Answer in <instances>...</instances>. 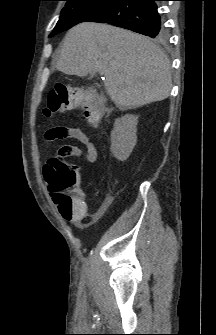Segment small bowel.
Listing matches in <instances>:
<instances>
[{"instance_id":"obj_1","label":"small bowel","mask_w":216,"mask_h":335,"mask_svg":"<svg viewBox=\"0 0 216 335\" xmlns=\"http://www.w3.org/2000/svg\"><path fill=\"white\" fill-rule=\"evenodd\" d=\"M46 140L49 141H57V140H66L73 139L78 141L80 145L70 144L66 145L70 148L71 153L70 156H75L84 159L89 163H93L98 158V150L95 144L89 139V137L79 128L77 127H66L59 126L49 129L45 135ZM51 167L50 163H47L44 166L43 175L45 181L49 185V173ZM49 190L53 197H55V193L52 188L49 186ZM75 201L78 202L81 207L78 211H73L69 215L66 216V219L73 223L74 225L84 228L86 227L85 221L90 218L91 222H96L100 218V212L97 211L92 215L88 212V205L86 202V195L83 190L78 189L76 192Z\"/></svg>"}]
</instances>
